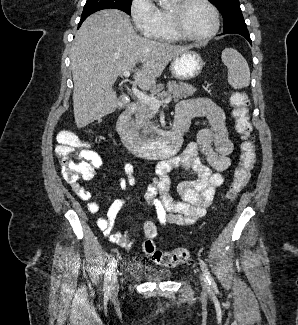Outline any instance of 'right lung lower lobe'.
<instances>
[{"instance_id":"1","label":"right lung lower lobe","mask_w":298,"mask_h":325,"mask_svg":"<svg viewBox=\"0 0 298 325\" xmlns=\"http://www.w3.org/2000/svg\"><path fill=\"white\" fill-rule=\"evenodd\" d=\"M83 22V20H80V23H79V26H78V28L80 27V25H81V23Z\"/></svg>"}]
</instances>
